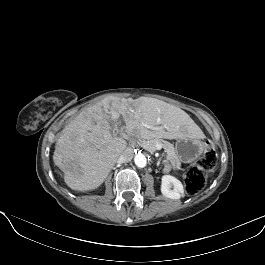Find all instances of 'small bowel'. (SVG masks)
<instances>
[{
  "instance_id": "small-bowel-1",
  "label": "small bowel",
  "mask_w": 265,
  "mask_h": 265,
  "mask_svg": "<svg viewBox=\"0 0 265 265\" xmlns=\"http://www.w3.org/2000/svg\"><path fill=\"white\" fill-rule=\"evenodd\" d=\"M165 170H166V171H169V170H170V165H169V164L166 165Z\"/></svg>"
}]
</instances>
